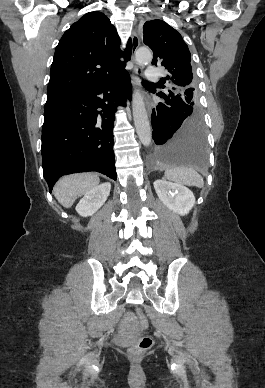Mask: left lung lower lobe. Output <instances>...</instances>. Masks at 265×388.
<instances>
[{
	"label": "left lung lower lobe",
	"mask_w": 265,
	"mask_h": 388,
	"mask_svg": "<svg viewBox=\"0 0 265 388\" xmlns=\"http://www.w3.org/2000/svg\"><path fill=\"white\" fill-rule=\"evenodd\" d=\"M152 112L153 165H206V132L199 108L185 104L171 93Z\"/></svg>",
	"instance_id": "obj_1"
}]
</instances>
